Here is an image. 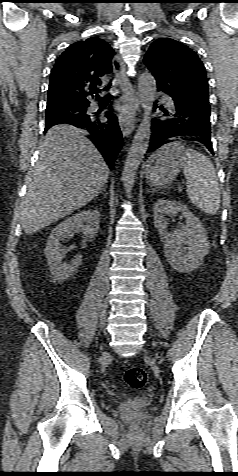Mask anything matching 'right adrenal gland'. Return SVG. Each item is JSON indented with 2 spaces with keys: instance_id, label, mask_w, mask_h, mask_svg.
<instances>
[{
  "instance_id": "obj_1",
  "label": "right adrenal gland",
  "mask_w": 238,
  "mask_h": 476,
  "mask_svg": "<svg viewBox=\"0 0 238 476\" xmlns=\"http://www.w3.org/2000/svg\"><path fill=\"white\" fill-rule=\"evenodd\" d=\"M100 193H105V195H106V186H104V187L101 189V191L99 192V194H100Z\"/></svg>"
}]
</instances>
